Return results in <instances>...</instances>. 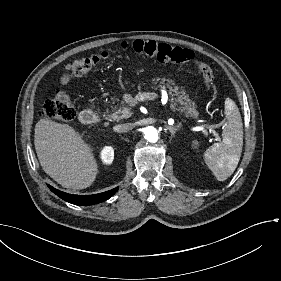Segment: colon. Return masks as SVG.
Returning a JSON list of instances; mask_svg holds the SVG:
<instances>
[{
  "instance_id": "colon-1",
  "label": "colon",
  "mask_w": 281,
  "mask_h": 281,
  "mask_svg": "<svg viewBox=\"0 0 281 281\" xmlns=\"http://www.w3.org/2000/svg\"><path fill=\"white\" fill-rule=\"evenodd\" d=\"M132 53L145 55L162 63H192L207 83L212 84L214 81L212 69L207 64L196 60L189 50L166 43L143 40L124 42L117 49L75 59L68 64L67 71L72 77L86 76L93 72L102 60L110 59L118 54ZM75 115V106L66 92H58L54 97L47 99L41 110L42 118L64 123L72 121Z\"/></svg>"
}]
</instances>
